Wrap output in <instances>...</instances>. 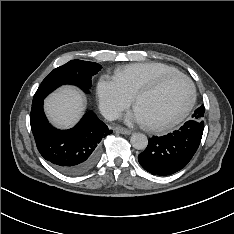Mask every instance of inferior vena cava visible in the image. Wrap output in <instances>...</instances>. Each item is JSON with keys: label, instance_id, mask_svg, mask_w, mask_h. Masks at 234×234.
<instances>
[{"label": "inferior vena cava", "instance_id": "602c4592", "mask_svg": "<svg viewBox=\"0 0 234 234\" xmlns=\"http://www.w3.org/2000/svg\"><path fill=\"white\" fill-rule=\"evenodd\" d=\"M102 115L104 116L105 119L113 121L120 117V112L114 109H104L102 110Z\"/></svg>", "mask_w": 234, "mask_h": 234}]
</instances>
